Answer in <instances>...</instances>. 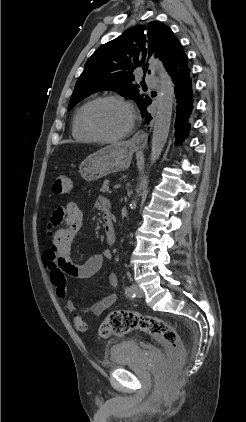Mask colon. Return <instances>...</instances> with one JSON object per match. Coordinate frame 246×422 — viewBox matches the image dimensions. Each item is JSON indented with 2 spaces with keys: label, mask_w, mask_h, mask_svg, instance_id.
<instances>
[{
  "label": "colon",
  "mask_w": 246,
  "mask_h": 422,
  "mask_svg": "<svg viewBox=\"0 0 246 422\" xmlns=\"http://www.w3.org/2000/svg\"><path fill=\"white\" fill-rule=\"evenodd\" d=\"M72 189V179L68 174H59L52 185L55 194H66ZM65 270L60 261L50 262V278L60 298L66 297ZM75 327L85 332L87 325L79 315H74ZM133 330H139L155 337L168 351L171 364L179 366L183 363L185 350L176 329L162 318L143 315L132 311L111 312L102 322L99 335L103 338L122 336Z\"/></svg>",
  "instance_id": "1"
}]
</instances>
